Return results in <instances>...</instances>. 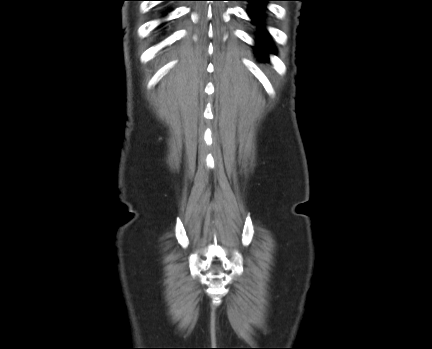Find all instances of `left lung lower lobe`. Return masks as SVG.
Listing matches in <instances>:
<instances>
[{"label":"left lung lower lobe","instance_id":"left-lung-lower-lobe-1","mask_svg":"<svg viewBox=\"0 0 432 349\" xmlns=\"http://www.w3.org/2000/svg\"><path fill=\"white\" fill-rule=\"evenodd\" d=\"M250 1L252 3V9L249 12L250 17L255 21L259 22V18L261 17L260 9L264 8V3L266 1H273V0H246ZM258 52L260 56L265 59H267L266 51L274 52L275 48L272 46V44L268 41L267 37L265 35H260V42L258 44Z\"/></svg>","mask_w":432,"mask_h":349}]
</instances>
